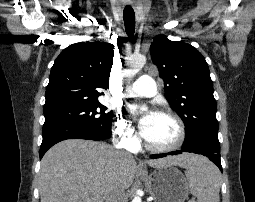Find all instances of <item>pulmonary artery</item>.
<instances>
[{
  "instance_id": "obj_1",
  "label": "pulmonary artery",
  "mask_w": 255,
  "mask_h": 202,
  "mask_svg": "<svg viewBox=\"0 0 255 202\" xmlns=\"http://www.w3.org/2000/svg\"><path fill=\"white\" fill-rule=\"evenodd\" d=\"M157 92L154 79L149 75L140 76L137 81L125 91L127 97H151Z\"/></svg>"
}]
</instances>
